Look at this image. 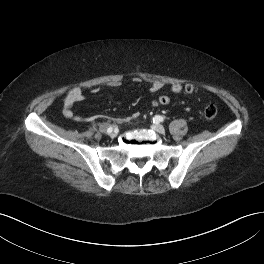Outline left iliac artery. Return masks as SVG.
<instances>
[{
    "mask_svg": "<svg viewBox=\"0 0 264 264\" xmlns=\"http://www.w3.org/2000/svg\"><path fill=\"white\" fill-rule=\"evenodd\" d=\"M164 121V117L160 116V115H156L154 118H153V122L155 123H159V122H163Z\"/></svg>",
    "mask_w": 264,
    "mask_h": 264,
    "instance_id": "left-iliac-artery-1",
    "label": "left iliac artery"
}]
</instances>
